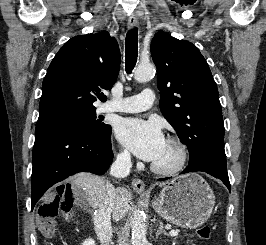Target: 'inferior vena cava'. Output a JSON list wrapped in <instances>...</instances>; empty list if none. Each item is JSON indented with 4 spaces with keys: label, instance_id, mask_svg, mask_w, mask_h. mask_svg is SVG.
<instances>
[{
    "label": "inferior vena cava",
    "instance_id": "obj_1",
    "mask_svg": "<svg viewBox=\"0 0 266 245\" xmlns=\"http://www.w3.org/2000/svg\"><path fill=\"white\" fill-rule=\"evenodd\" d=\"M131 167V155L128 151H124L112 163L109 175L115 179H125L130 175ZM115 195V187L108 181L104 189L98 191L92 203L94 229L101 245H110L112 241L111 213Z\"/></svg>",
    "mask_w": 266,
    "mask_h": 245
}]
</instances>
